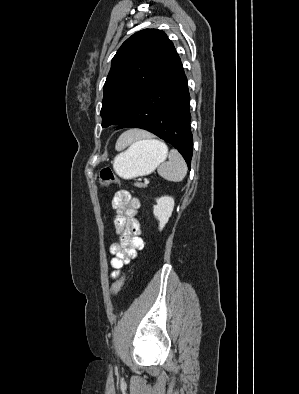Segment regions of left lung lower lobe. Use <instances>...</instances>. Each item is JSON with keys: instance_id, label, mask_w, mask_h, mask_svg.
I'll use <instances>...</instances> for the list:
<instances>
[{"instance_id": "0a47b994", "label": "left lung lower lobe", "mask_w": 299, "mask_h": 394, "mask_svg": "<svg viewBox=\"0 0 299 394\" xmlns=\"http://www.w3.org/2000/svg\"><path fill=\"white\" fill-rule=\"evenodd\" d=\"M190 95L180 58L146 89L129 116L116 129L141 128L172 144L190 169L193 137Z\"/></svg>"}]
</instances>
